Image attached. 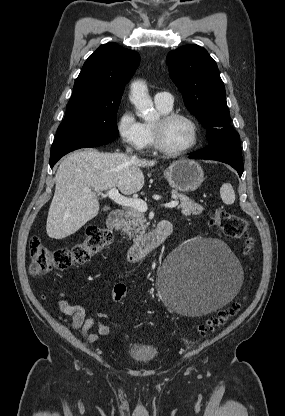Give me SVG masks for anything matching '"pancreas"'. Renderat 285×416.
Returning a JSON list of instances; mask_svg holds the SVG:
<instances>
[{
  "instance_id": "cf45deb5",
  "label": "pancreas",
  "mask_w": 285,
  "mask_h": 416,
  "mask_svg": "<svg viewBox=\"0 0 285 416\" xmlns=\"http://www.w3.org/2000/svg\"><path fill=\"white\" fill-rule=\"evenodd\" d=\"M172 196H176L174 200H180L181 204L178 208H181L182 214L185 216H199L202 214L204 208L200 204H196L193 200H189L188 196L184 194H177L176 190H171ZM145 218L142 212H138L135 208H126L125 220L121 224V228L125 234H128L130 240H138L139 236L145 234L147 226H145Z\"/></svg>"
}]
</instances>
